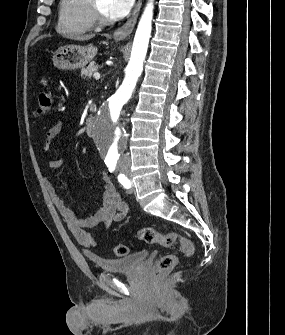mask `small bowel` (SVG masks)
<instances>
[{
  "mask_svg": "<svg viewBox=\"0 0 285 335\" xmlns=\"http://www.w3.org/2000/svg\"><path fill=\"white\" fill-rule=\"evenodd\" d=\"M62 130L63 123L58 122L47 131L43 145L44 151L48 152L52 149L54 140L61 134ZM61 163L60 159H52L48 163V168L50 171L57 170ZM101 181L102 192L97 210L93 214L81 217L65 206L50 179H46V187L53 205L66 222L75 239L86 248L93 247L96 244L95 237L87 231L88 229L102 224L106 230L113 222L124 220L130 212L129 204L121 198L107 174H101Z\"/></svg>",
  "mask_w": 285,
  "mask_h": 335,
  "instance_id": "c3829d8e",
  "label": "small bowel"
}]
</instances>
